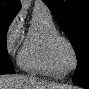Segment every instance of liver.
I'll list each match as a JSON object with an SVG mask.
<instances>
[{"mask_svg": "<svg viewBox=\"0 0 89 89\" xmlns=\"http://www.w3.org/2000/svg\"><path fill=\"white\" fill-rule=\"evenodd\" d=\"M58 87V85L46 84L34 77L21 75L0 77V89H59Z\"/></svg>", "mask_w": 89, "mask_h": 89, "instance_id": "1", "label": "liver"}]
</instances>
